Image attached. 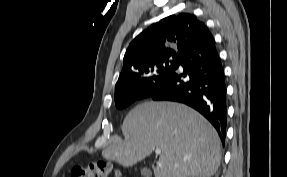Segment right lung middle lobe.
<instances>
[{
    "label": "right lung middle lobe",
    "instance_id": "right-lung-middle-lobe-1",
    "mask_svg": "<svg viewBox=\"0 0 287 177\" xmlns=\"http://www.w3.org/2000/svg\"><path fill=\"white\" fill-rule=\"evenodd\" d=\"M178 62L177 58L161 60L146 70L136 84L115 87L116 107L122 109L138 100L146 89L171 73Z\"/></svg>",
    "mask_w": 287,
    "mask_h": 177
}]
</instances>
